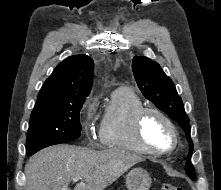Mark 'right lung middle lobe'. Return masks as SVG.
Listing matches in <instances>:
<instances>
[{"mask_svg":"<svg viewBox=\"0 0 221 190\" xmlns=\"http://www.w3.org/2000/svg\"><path fill=\"white\" fill-rule=\"evenodd\" d=\"M84 102L35 106L30 117L27 155L79 138L82 130L79 113Z\"/></svg>","mask_w":221,"mask_h":190,"instance_id":"obj_1","label":"right lung middle lobe"}]
</instances>
